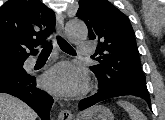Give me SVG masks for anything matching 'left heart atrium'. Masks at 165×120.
Here are the masks:
<instances>
[{"label":"left heart atrium","mask_w":165,"mask_h":120,"mask_svg":"<svg viewBox=\"0 0 165 120\" xmlns=\"http://www.w3.org/2000/svg\"><path fill=\"white\" fill-rule=\"evenodd\" d=\"M43 86L59 96H74L87 85L86 73L76 65L61 62L50 68L42 77Z\"/></svg>","instance_id":"obj_1"}]
</instances>
